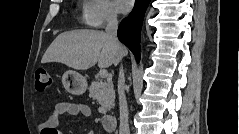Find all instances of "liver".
<instances>
[{
	"mask_svg": "<svg viewBox=\"0 0 239 134\" xmlns=\"http://www.w3.org/2000/svg\"><path fill=\"white\" fill-rule=\"evenodd\" d=\"M126 55V48L121 44L116 46L103 31L75 30L59 34L41 62H58L76 70H87L97 62L100 68H107Z\"/></svg>",
	"mask_w": 239,
	"mask_h": 134,
	"instance_id": "6515ba94",
	"label": "liver"
}]
</instances>
